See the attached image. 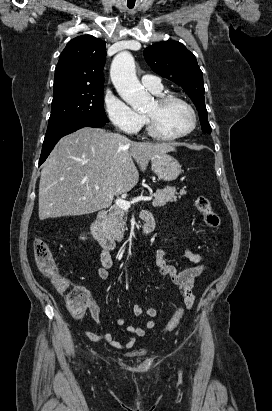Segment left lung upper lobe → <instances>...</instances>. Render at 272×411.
Returning <instances> with one entry per match:
<instances>
[{
    "mask_svg": "<svg viewBox=\"0 0 272 411\" xmlns=\"http://www.w3.org/2000/svg\"><path fill=\"white\" fill-rule=\"evenodd\" d=\"M144 57L153 71L185 90L199 112L202 131L210 134L203 74L194 54L178 41H162L147 47Z\"/></svg>",
    "mask_w": 272,
    "mask_h": 411,
    "instance_id": "left-lung-upper-lobe-1",
    "label": "left lung upper lobe"
}]
</instances>
